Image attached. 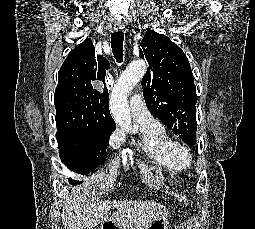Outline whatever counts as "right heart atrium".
I'll return each instance as SVG.
<instances>
[{"instance_id": "d8ad5b80", "label": "right heart atrium", "mask_w": 255, "mask_h": 229, "mask_svg": "<svg viewBox=\"0 0 255 229\" xmlns=\"http://www.w3.org/2000/svg\"><path fill=\"white\" fill-rule=\"evenodd\" d=\"M121 142V137L119 136L118 132H115L112 134L110 141H109V145L111 147H117Z\"/></svg>"}]
</instances>
